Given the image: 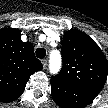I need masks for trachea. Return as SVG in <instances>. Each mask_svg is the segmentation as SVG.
Here are the masks:
<instances>
[{"mask_svg":"<svg viewBox=\"0 0 108 108\" xmlns=\"http://www.w3.org/2000/svg\"><path fill=\"white\" fill-rule=\"evenodd\" d=\"M46 55V50L44 48H38L36 50V57L39 59H43Z\"/></svg>","mask_w":108,"mask_h":108,"instance_id":"obj_1","label":"trachea"}]
</instances>
